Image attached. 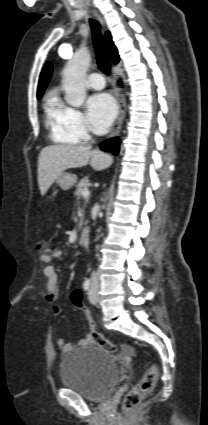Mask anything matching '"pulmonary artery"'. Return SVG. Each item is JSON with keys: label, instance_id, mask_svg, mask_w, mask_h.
Segmentation results:
<instances>
[{"label": "pulmonary artery", "instance_id": "1", "mask_svg": "<svg viewBox=\"0 0 208 425\" xmlns=\"http://www.w3.org/2000/svg\"><path fill=\"white\" fill-rule=\"evenodd\" d=\"M86 84L89 88L94 90L103 89L105 87L104 77L100 73H96V72L91 73L87 77Z\"/></svg>", "mask_w": 208, "mask_h": 425}]
</instances>
